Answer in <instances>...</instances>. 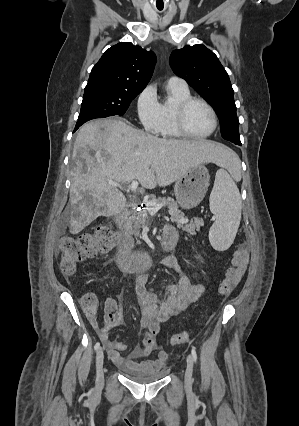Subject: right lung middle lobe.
<instances>
[{
	"mask_svg": "<svg viewBox=\"0 0 299 426\" xmlns=\"http://www.w3.org/2000/svg\"><path fill=\"white\" fill-rule=\"evenodd\" d=\"M141 92L101 84L87 85L79 117L90 113L122 116L131 101Z\"/></svg>",
	"mask_w": 299,
	"mask_h": 426,
	"instance_id": "dd1d6c3e",
	"label": "right lung middle lobe"
}]
</instances>
